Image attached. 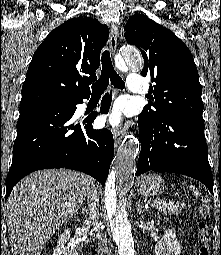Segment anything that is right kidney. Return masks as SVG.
I'll list each match as a JSON object with an SVG mask.
<instances>
[{
	"mask_svg": "<svg viewBox=\"0 0 221 255\" xmlns=\"http://www.w3.org/2000/svg\"><path fill=\"white\" fill-rule=\"evenodd\" d=\"M69 239L70 229H65L64 232L59 236L53 255H79L75 248L65 245Z\"/></svg>",
	"mask_w": 221,
	"mask_h": 255,
	"instance_id": "right-kidney-1",
	"label": "right kidney"
}]
</instances>
